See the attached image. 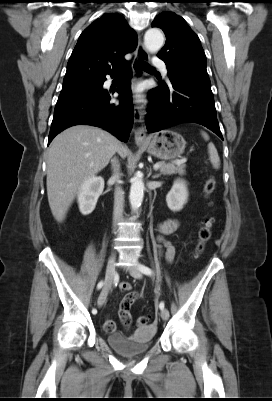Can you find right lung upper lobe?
Segmentation results:
<instances>
[{
    "mask_svg": "<svg viewBox=\"0 0 272 401\" xmlns=\"http://www.w3.org/2000/svg\"><path fill=\"white\" fill-rule=\"evenodd\" d=\"M137 35L119 14H104L80 35L70 56L62 90L82 87L114 73L135 50Z\"/></svg>",
    "mask_w": 272,
    "mask_h": 401,
    "instance_id": "cb5924a9",
    "label": "right lung upper lobe"
}]
</instances>
